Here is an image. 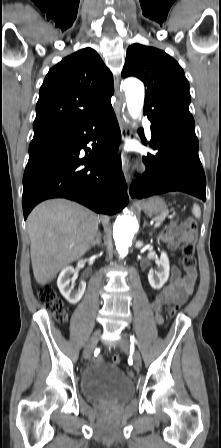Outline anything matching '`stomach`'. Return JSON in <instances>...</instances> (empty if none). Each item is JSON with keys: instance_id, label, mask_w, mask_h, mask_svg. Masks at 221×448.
<instances>
[{"instance_id": "stomach-1", "label": "stomach", "mask_w": 221, "mask_h": 448, "mask_svg": "<svg viewBox=\"0 0 221 448\" xmlns=\"http://www.w3.org/2000/svg\"><path fill=\"white\" fill-rule=\"evenodd\" d=\"M140 208L149 216L165 215L167 213L165 202L159 197H151L144 201Z\"/></svg>"}]
</instances>
